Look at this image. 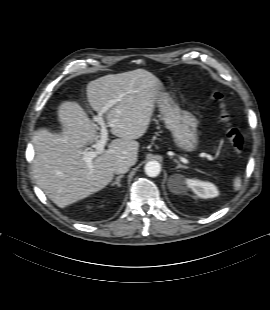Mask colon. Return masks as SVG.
I'll return each instance as SVG.
<instances>
[{
	"label": "colon",
	"mask_w": 270,
	"mask_h": 310,
	"mask_svg": "<svg viewBox=\"0 0 270 310\" xmlns=\"http://www.w3.org/2000/svg\"><path fill=\"white\" fill-rule=\"evenodd\" d=\"M213 100L220 103V119L225 126V135L237 153H242L245 148L246 138L244 134L234 125L232 118L226 109L223 101L225 94L223 92H215L212 96Z\"/></svg>",
	"instance_id": "5ec220e1"
}]
</instances>
